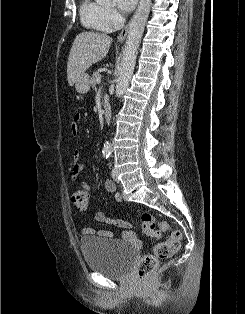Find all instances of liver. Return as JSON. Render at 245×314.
<instances>
[{
	"label": "liver",
	"mask_w": 245,
	"mask_h": 314,
	"mask_svg": "<svg viewBox=\"0 0 245 314\" xmlns=\"http://www.w3.org/2000/svg\"><path fill=\"white\" fill-rule=\"evenodd\" d=\"M112 38L103 33L83 32L76 36L68 58L67 80L73 86L94 63L106 57Z\"/></svg>",
	"instance_id": "6515ba94"
}]
</instances>
